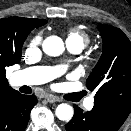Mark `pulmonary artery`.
Wrapping results in <instances>:
<instances>
[{
    "instance_id": "pulmonary-artery-1",
    "label": "pulmonary artery",
    "mask_w": 131,
    "mask_h": 131,
    "mask_svg": "<svg viewBox=\"0 0 131 131\" xmlns=\"http://www.w3.org/2000/svg\"><path fill=\"white\" fill-rule=\"evenodd\" d=\"M68 48L73 53L82 51V47L77 45L67 44ZM63 67H48L37 66L18 71L14 74L13 81L16 85H36L43 84L61 74ZM85 108L92 109L94 106V99L89 98L85 104Z\"/></svg>"
}]
</instances>
